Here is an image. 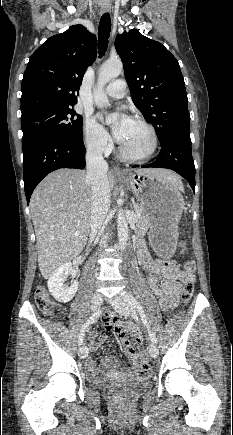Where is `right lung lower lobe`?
<instances>
[{"mask_svg":"<svg viewBox=\"0 0 233 435\" xmlns=\"http://www.w3.org/2000/svg\"><path fill=\"white\" fill-rule=\"evenodd\" d=\"M85 146L53 135L41 136L23 143V180L29 204L37 184L50 172L60 168L85 167Z\"/></svg>","mask_w":233,"mask_h":435,"instance_id":"right-lung-lower-lobe-1","label":"right lung lower lobe"}]
</instances>
